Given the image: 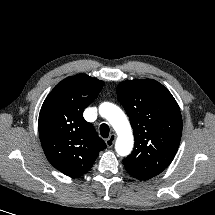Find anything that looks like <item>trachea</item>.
<instances>
[{
    "label": "trachea",
    "mask_w": 215,
    "mask_h": 215,
    "mask_svg": "<svg viewBox=\"0 0 215 215\" xmlns=\"http://www.w3.org/2000/svg\"><path fill=\"white\" fill-rule=\"evenodd\" d=\"M109 126L105 123L101 124L100 126V134L103 138H108L109 136Z\"/></svg>",
    "instance_id": "trachea-1"
}]
</instances>
